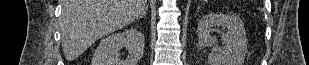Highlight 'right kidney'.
Here are the masks:
<instances>
[{"mask_svg":"<svg viewBox=\"0 0 309 65\" xmlns=\"http://www.w3.org/2000/svg\"><path fill=\"white\" fill-rule=\"evenodd\" d=\"M144 41V35L133 28L109 35L96 48L92 65H137L144 53ZM123 47L129 52L125 61L118 56Z\"/></svg>","mask_w":309,"mask_h":65,"instance_id":"1","label":"right kidney"}]
</instances>
